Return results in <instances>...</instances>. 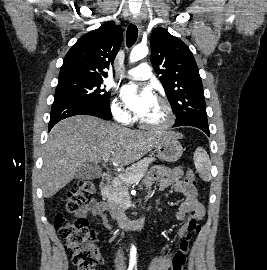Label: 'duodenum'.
Wrapping results in <instances>:
<instances>
[{"mask_svg":"<svg viewBox=\"0 0 267 270\" xmlns=\"http://www.w3.org/2000/svg\"><path fill=\"white\" fill-rule=\"evenodd\" d=\"M111 173L109 171H106L101 178L100 181V188L102 190V192L104 193V191L106 190V188L108 187V185L111 182ZM107 207L110 209L112 215L117 219V221L119 222V224L125 228L128 229H135V230H142L145 227L146 224V217L142 216L138 219H126L124 217V215L122 214L121 210L117 207H115L114 205L107 203Z\"/></svg>","mask_w":267,"mask_h":270,"instance_id":"1","label":"duodenum"}]
</instances>
